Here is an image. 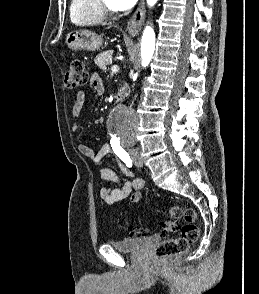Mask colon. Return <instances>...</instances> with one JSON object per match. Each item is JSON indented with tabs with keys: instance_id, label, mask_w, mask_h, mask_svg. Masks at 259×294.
<instances>
[{
	"instance_id": "1",
	"label": "colon",
	"mask_w": 259,
	"mask_h": 294,
	"mask_svg": "<svg viewBox=\"0 0 259 294\" xmlns=\"http://www.w3.org/2000/svg\"><path fill=\"white\" fill-rule=\"evenodd\" d=\"M88 73L84 63L79 59L70 62L69 69L65 74V86L69 89L83 87L88 82ZM170 216L176 220L183 219L185 224L180 228L177 221H166L163 224L164 232L181 230L179 237L163 241L156 249L159 259H167L185 253L189 246L199 238V228L196 225V213L192 208L172 206L169 210ZM133 234L146 235L145 231H133Z\"/></svg>"
}]
</instances>
